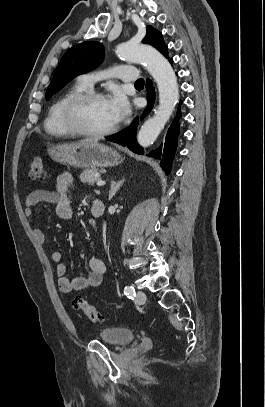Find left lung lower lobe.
I'll return each mask as SVG.
<instances>
[{
  "label": "left lung lower lobe",
  "mask_w": 265,
  "mask_h": 407,
  "mask_svg": "<svg viewBox=\"0 0 265 407\" xmlns=\"http://www.w3.org/2000/svg\"><path fill=\"white\" fill-rule=\"evenodd\" d=\"M169 62L172 64L173 60L171 58L168 59ZM146 88H147V100H148V105L147 108L142 115V118L150 112V110L153 107V103L155 100V90L154 87L152 86V82L148 79L146 83ZM182 102L179 103V106L181 105ZM182 117L180 109H178L177 115L170 126L168 133L166 135V141H165V146L163 151L161 148L159 150H156L154 152L150 153V156L154 158H160L161 159V166L165 170V172L168 174L171 169V163L173 160L174 153L177 148V136L179 134V119ZM138 125V118H135L132 124L127 127L125 130L122 132L108 136L106 137V140L118 143L123 146H127L131 151L137 153V154H143L144 151L143 149L138 145L136 142V129Z\"/></svg>",
  "instance_id": "0a47b994"
}]
</instances>
